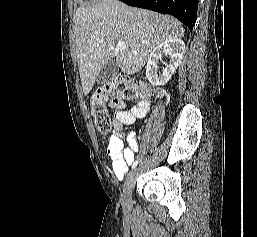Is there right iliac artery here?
<instances>
[{
  "label": "right iliac artery",
  "instance_id": "obj_1",
  "mask_svg": "<svg viewBox=\"0 0 257 237\" xmlns=\"http://www.w3.org/2000/svg\"><path fill=\"white\" fill-rule=\"evenodd\" d=\"M137 164H138V161L136 160V161L133 163V165H132V169H134V168L137 166Z\"/></svg>",
  "mask_w": 257,
  "mask_h": 237
}]
</instances>
